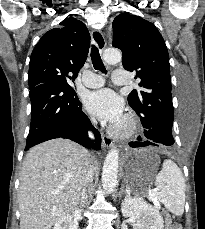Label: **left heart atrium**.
Listing matches in <instances>:
<instances>
[{
	"mask_svg": "<svg viewBox=\"0 0 205 229\" xmlns=\"http://www.w3.org/2000/svg\"><path fill=\"white\" fill-rule=\"evenodd\" d=\"M85 107L93 115L113 124L122 120L123 102L110 89H100L90 92L85 98Z\"/></svg>",
	"mask_w": 205,
	"mask_h": 229,
	"instance_id": "39dd6f15",
	"label": "left heart atrium"
}]
</instances>
